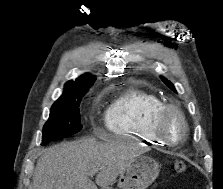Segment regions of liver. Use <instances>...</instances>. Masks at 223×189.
Returning <instances> with one entry per match:
<instances>
[{
	"mask_svg": "<svg viewBox=\"0 0 223 189\" xmlns=\"http://www.w3.org/2000/svg\"><path fill=\"white\" fill-rule=\"evenodd\" d=\"M140 154L135 145L94 138L54 145L44 150L33 175L32 189H109L130 161ZM97 170L95 183L90 172Z\"/></svg>",
	"mask_w": 223,
	"mask_h": 189,
	"instance_id": "6515ba94",
	"label": "liver"
}]
</instances>
